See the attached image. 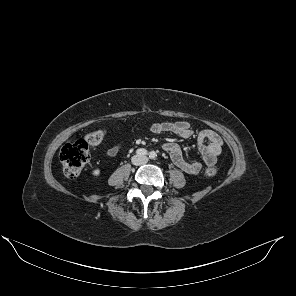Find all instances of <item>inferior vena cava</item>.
<instances>
[{
	"label": "inferior vena cava",
	"mask_w": 296,
	"mask_h": 296,
	"mask_svg": "<svg viewBox=\"0 0 296 296\" xmlns=\"http://www.w3.org/2000/svg\"><path fill=\"white\" fill-rule=\"evenodd\" d=\"M147 162H148V158L145 157V156L135 158V164H136V165L146 164Z\"/></svg>",
	"instance_id": "obj_1"
}]
</instances>
